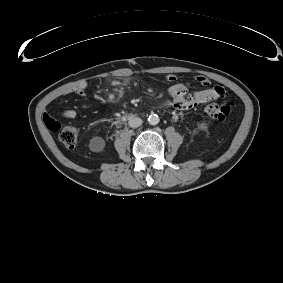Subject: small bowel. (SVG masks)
<instances>
[{
  "label": "small bowel",
  "mask_w": 283,
  "mask_h": 283,
  "mask_svg": "<svg viewBox=\"0 0 283 283\" xmlns=\"http://www.w3.org/2000/svg\"><path fill=\"white\" fill-rule=\"evenodd\" d=\"M165 81L170 84L166 93V104L172 105L178 110H190L201 104L224 98L226 94L223 87L219 85L212 86L210 80L204 76L195 77V81L203 86L204 89L194 92H190L185 84L178 83L175 75H167ZM87 87V82H80L73 89V93L84 96ZM61 116L65 119H74L77 116V112L74 109H66L62 112ZM44 122L48 129L52 131L59 128V123L48 115L44 116Z\"/></svg>",
  "instance_id": "c3829d8e"
}]
</instances>
